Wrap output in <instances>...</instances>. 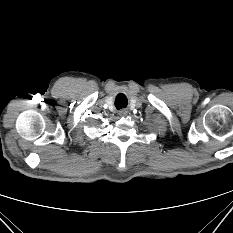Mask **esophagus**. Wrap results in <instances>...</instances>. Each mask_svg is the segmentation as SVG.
Returning <instances> with one entry per match:
<instances>
[{
  "label": "esophagus",
  "instance_id": "esophagus-1",
  "mask_svg": "<svg viewBox=\"0 0 233 233\" xmlns=\"http://www.w3.org/2000/svg\"><path fill=\"white\" fill-rule=\"evenodd\" d=\"M127 113H128V111L127 110H121L120 112H119V114L120 115H127Z\"/></svg>",
  "mask_w": 233,
  "mask_h": 233
}]
</instances>
